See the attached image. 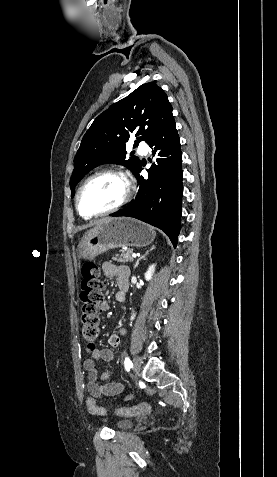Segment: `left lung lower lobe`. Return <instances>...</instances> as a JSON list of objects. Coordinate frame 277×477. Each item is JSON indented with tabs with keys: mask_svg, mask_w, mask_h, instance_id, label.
I'll return each instance as SVG.
<instances>
[{
	"mask_svg": "<svg viewBox=\"0 0 277 477\" xmlns=\"http://www.w3.org/2000/svg\"><path fill=\"white\" fill-rule=\"evenodd\" d=\"M147 144L158 156L157 164L148 170V179L140 176L142 166L135 176L139 190L135 200L111 216L139 219L163 230L177 245L182 208V153L174 117L159 130Z\"/></svg>",
	"mask_w": 277,
	"mask_h": 477,
	"instance_id": "0a47b994",
	"label": "left lung lower lobe"
}]
</instances>
